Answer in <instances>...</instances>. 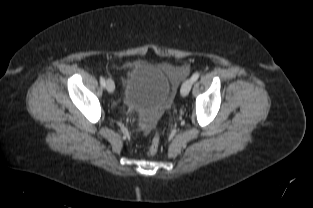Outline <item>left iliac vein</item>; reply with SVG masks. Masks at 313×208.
I'll return each mask as SVG.
<instances>
[{
    "label": "left iliac vein",
    "instance_id": "4c4485c4",
    "mask_svg": "<svg viewBox=\"0 0 313 208\" xmlns=\"http://www.w3.org/2000/svg\"><path fill=\"white\" fill-rule=\"evenodd\" d=\"M193 85V81L191 79L186 80L182 86H181V95L186 96L188 95L189 91L191 90V87Z\"/></svg>",
    "mask_w": 313,
    "mask_h": 208
}]
</instances>
